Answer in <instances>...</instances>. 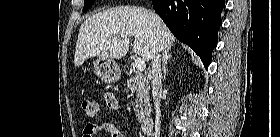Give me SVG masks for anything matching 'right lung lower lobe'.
Wrapping results in <instances>:
<instances>
[{"instance_id": "right-lung-lower-lobe-1", "label": "right lung lower lobe", "mask_w": 280, "mask_h": 137, "mask_svg": "<svg viewBox=\"0 0 280 137\" xmlns=\"http://www.w3.org/2000/svg\"><path fill=\"white\" fill-rule=\"evenodd\" d=\"M170 31L200 56L207 67L217 44L224 0H152Z\"/></svg>"}]
</instances>
